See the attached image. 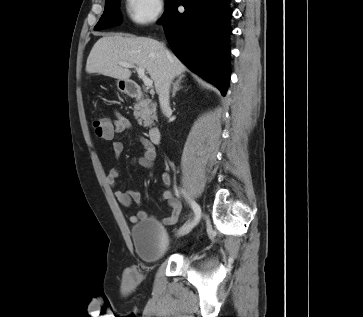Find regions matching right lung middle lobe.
<instances>
[{
  "instance_id": "right-lung-middle-lobe-1",
  "label": "right lung middle lobe",
  "mask_w": 363,
  "mask_h": 317,
  "mask_svg": "<svg viewBox=\"0 0 363 317\" xmlns=\"http://www.w3.org/2000/svg\"><path fill=\"white\" fill-rule=\"evenodd\" d=\"M171 0H168L167 6ZM119 0H106L105 10L99 22L95 26V30H103L120 24V14L118 11Z\"/></svg>"
}]
</instances>
